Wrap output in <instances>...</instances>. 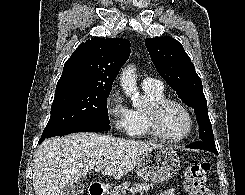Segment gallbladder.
<instances>
[{
  "mask_svg": "<svg viewBox=\"0 0 245 195\" xmlns=\"http://www.w3.org/2000/svg\"><path fill=\"white\" fill-rule=\"evenodd\" d=\"M85 186L80 182L69 183L64 187L65 195H80L83 193Z\"/></svg>",
  "mask_w": 245,
  "mask_h": 195,
  "instance_id": "bac80fb5",
  "label": "gallbladder"
}]
</instances>
